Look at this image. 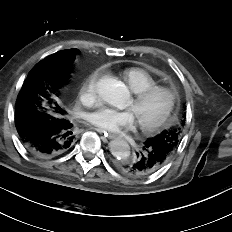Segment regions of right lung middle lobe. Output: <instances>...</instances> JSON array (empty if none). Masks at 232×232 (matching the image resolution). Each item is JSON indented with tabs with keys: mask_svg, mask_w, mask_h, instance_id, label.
<instances>
[{
	"mask_svg": "<svg viewBox=\"0 0 232 232\" xmlns=\"http://www.w3.org/2000/svg\"><path fill=\"white\" fill-rule=\"evenodd\" d=\"M75 51L58 57L53 55L40 61L29 73L18 95L15 112L24 108L25 102L38 103L39 118L45 123L55 122L65 117V111L55 101L57 90L68 80Z\"/></svg>",
	"mask_w": 232,
	"mask_h": 232,
	"instance_id": "obj_1",
	"label": "right lung middle lobe"
}]
</instances>
